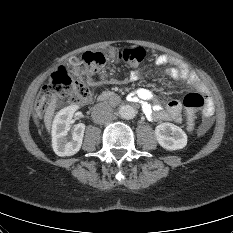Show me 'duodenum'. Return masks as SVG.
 Here are the masks:
<instances>
[{"mask_svg": "<svg viewBox=\"0 0 233 233\" xmlns=\"http://www.w3.org/2000/svg\"><path fill=\"white\" fill-rule=\"evenodd\" d=\"M98 100L100 102L118 104L120 102V97L112 91H104L99 95Z\"/></svg>", "mask_w": 233, "mask_h": 233, "instance_id": "obj_1", "label": "duodenum"}]
</instances>
